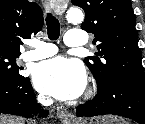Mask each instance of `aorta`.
I'll return each mask as SVG.
<instances>
[{
	"label": "aorta",
	"instance_id": "762f6f07",
	"mask_svg": "<svg viewBox=\"0 0 145 124\" xmlns=\"http://www.w3.org/2000/svg\"><path fill=\"white\" fill-rule=\"evenodd\" d=\"M67 20L71 23H80L84 19L82 11L79 9L71 8L67 11Z\"/></svg>",
	"mask_w": 145,
	"mask_h": 124
}]
</instances>
